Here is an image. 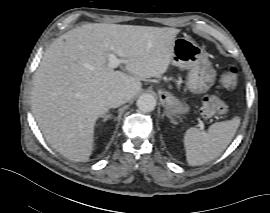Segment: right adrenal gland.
Returning <instances> with one entry per match:
<instances>
[{
  "label": "right adrenal gland",
  "instance_id": "2a0ac1e0",
  "mask_svg": "<svg viewBox=\"0 0 270 213\" xmlns=\"http://www.w3.org/2000/svg\"><path fill=\"white\" fill-rule=\"evenodd\" d=\"M111 118H112V116L110 114L104 115L103 116V121L105 122V121H107V120H109Z\"/></svg>",
  "mask_w": 270,
  "mask_h": 213
}]
</instances>
